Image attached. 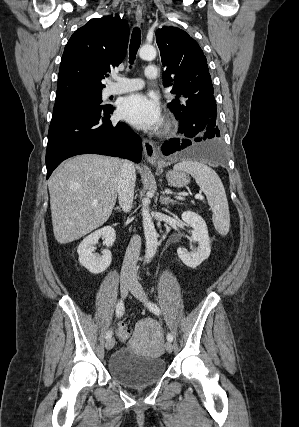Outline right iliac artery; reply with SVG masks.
I'll list each match as a JSON object with an SVG mask.
<instances>
[{"label": "right iliac artery", "mask_w": 299, "mask_h": 427, "mask_svg": "<svg viewBox=\"0 0 299 427\" xmlns=\"http://www.w3.org/2000/svg\"><path fill=\"white\" fill-rule=\"evenodd\" d=\"M124 310H125V308H124L123 301H119L117 303V305H116V315H117L118 318L121 317L124 314ZM111 337H112V330H109L106 333V339H109Z\"/></svg>", "instance_id": "right-iliac-artery-1"}]
</instances>
